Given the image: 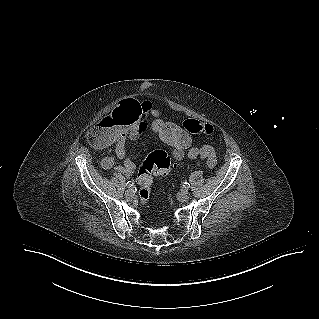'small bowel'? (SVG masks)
Instances as JSON below:
<instances>
[{
	"mask_svg": "<svg viewBox=\"0 0 319 319\" xmlns=\"http://www.w3.org/2000/svg\"><path fill=\"white\" fill-rule=\"evenodd\" d=\"M143 115L151 121L154 117L161 116V112L149 101L141 102L133 98L117 101L116 108L111 112L103 113L98 118V123L88 130L87 140L92 146L109 149L115 144L114 154L102 159L103 168H114L118 172L126 174L133 172L135 165L126 159L125 143L129 138L137 139L148 128L149 122L143 121ZM181 122L180 130H182ZM172 155L174 159L182 160L186 155V150L172 148ZM187 156L192 160H203L210 169L214 168L217 163L215 150L210 145H204L200 148L192 147ZM116 159L123 160V162L116 164Z\"/></svg>",
	"mask_w": 319,
	"mask_h": 319,
	"instance_id": "small-bowel-1",
	"label": "small bowel"
}]
</instances>
